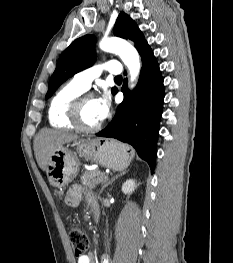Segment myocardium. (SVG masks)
Instances as JSON below:
<instances>
[{
	"label": "myocardium",
	"instance_id": "obj_1",
	"mask_svg": "<svg viewBox=\"0 0 233 263\" xmlns=\"http://www.w3.org/2000/svg\"><path fill=\"white\" fill-rule=\"evenodd\" d=\"M94 95L90 92H82L78 96H76L70 104L68 115L70 121L73 125L80 131L92 133L96 132L101 129L102 123L99 122L95 126H86L82 121V109L84 106L85 101L88 98H93Z\"/></svg>",
	"mask_w": 233,
	"mask_h": 263
}]
</instances>
